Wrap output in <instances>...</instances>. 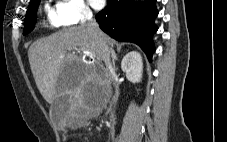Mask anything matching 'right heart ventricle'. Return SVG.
<instances>
[{
  "mask_svg": "<svg viewBox=\"0 0 227 142\" xmlns=\"http://www.w3.org/2000/svg\"><path fill=\"white\" fill-rule=\"evenodd\" d=\"M44 9H45V13L47 15V20H48L50 26L53 28H57V27L61 26L60 22L58 21V19L56 17L55 10L52 9L49 6V4H46Z\"/></svg>",
  "mask_w": 227,
  "mask_h": 142,
  "instance_id": "1",
  "label": "right heart ventricle"
}]
</instances>
